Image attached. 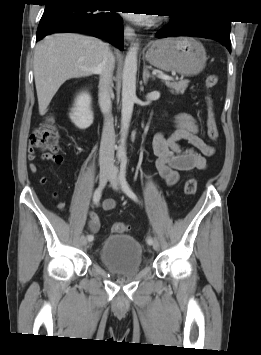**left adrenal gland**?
<instances>
[{
	"instance_id": "obj_1",
	"label": "left adrenal gland",
	"mask_w": 261,
	"mask_h": 355,
	"mask_svg": "<svg viewBox=\"0 0 261 355\" xmlns=\"http://www.w3.org/2000/svg\"><path fill=\"white\" fill-rule=\"evenodd\" d=\"M152 78L155 79V77L153 75L150 74V72L148 71V68L146 65H144V70H143V83L146 85L147 81Z\"/></svg>"
}]
</instances>
